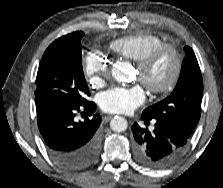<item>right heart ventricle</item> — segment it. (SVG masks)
Returning a JSON list of instances; mask_svg holds the SVG:
<instances>
[{
	"instance_id": "1",
	"label": "right heart ventricle",
	"mask_w": 223,
	"mask_h": 188,
	"mask_svg": "<svg viewBox=\"0 0 223 188\" xmlns=\"http://www.w3.org/2000/svg\"><path fill=\"white\" fill-rule=\"evenodd\" d=\"M163 43V39L157 34L144 32L117 38L110 42L109 48L126 59L139 61L149 51Z\"/></svg>"
}]
</instances>
